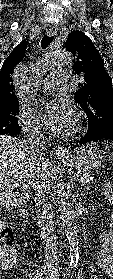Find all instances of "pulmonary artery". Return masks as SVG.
Listing matches in <instances>:
<instances>
[{
  "label": "pulmonary artery",
  "instance_id": "pulmonary-artery-1",
  "mask_svg": "<svg viewBox=\"0 0 113 279\" xmlns=\"http://www.w3.org/2000/svg\"><path fill=\"white\" fill-rule=\"evenodd\" d=\"M67 82V75L65 73L51 74L41 81V86L44 89H59L64 86Z\"/></svg>",
  "mask_w": 113,
  "mask_h": 279
}]
</instances>
